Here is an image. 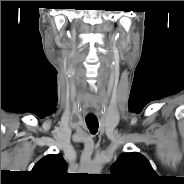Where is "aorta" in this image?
Segmentation results:
<instances>
[{
    "mask_svg": "<svg viewBox=\"0 0 184 184\" xmlns=\"http://www.w3.org/2000/svg\"><path fill=\"white\" fill-rule=\"evenodd\" d=\"M102 166L98 163L92 164L89 169H88V173L89 174H99V172L101 171Z\"/></svg>",
    "mask_w": 184,
    "mask_h": 184,
    "instance_id": "762f6f07",
    "label": "aorta"
}]
</instances>
